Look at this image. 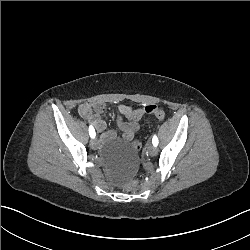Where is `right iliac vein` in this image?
Wrapping results in <instances>:
<instances>
[{"label":"right iliac vein","instance_id":"obj_1","mask_svg":"<svg viewBox=\"0 0 250 250\" xmlns=\"http://www.w3.org/2000/svg\"><path fill=\"white\" fill-rule=\"evenodd\" d=\"M90 146L92 149L96 150L99 147V142L96 138H93L90 142Z\"/></svg>","mask_w":250,"mask_h":250}]
</instances>
